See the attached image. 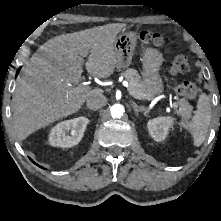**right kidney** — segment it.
<instances>
[{"mask_svg":"<svg viewBox=\"0 0 221 221\" xmlns=\"http://www.w3.org/2000/svg\"><path fill=\"white\" fill-rule=\"evenodd\" d=\"M88 123L89 119L86 117H78L58 123L50 131L49 144L61 148L77 145L81 141Z\"/></svg>","mask_w":221,"mask_h":221,"instance_id":"obj_1","label":"right kidney"}]
</instances>
